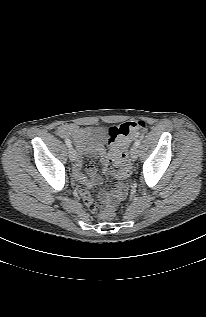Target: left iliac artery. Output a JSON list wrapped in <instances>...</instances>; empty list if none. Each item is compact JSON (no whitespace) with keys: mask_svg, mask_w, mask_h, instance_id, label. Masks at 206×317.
Returning <instances> with one entry per match:
<instances>
[{"mask_svg":"<svg viewBox=\"0 0 206 317\" xmlns=\"http://www.w3.org/2000/svg\"><path fill=\"white\" fill-rule=\"evenodd\" d=\"M140 143H141L140 140H136L135 143H134V145H135V146H139Z\"/></svg>","mask_w":206,"mask_h":317,"instance_id":"1","label":"left iliac artery"}]
</instances>
